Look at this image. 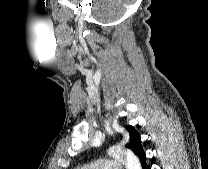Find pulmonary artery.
I'll use <instances>...</instances> for the list:
<instances>
[{
  "mask_svg": "<svg viewBox=\"0 0 208 169\" xmlns=\"http://www.w3.org/2000/svg\"><path fill=\"white\" fill-rule=\"evenodd\" d=\"M77 169H124L119 159L101 158L97 161L78 167Z\"/></svg>",
  "mask_w": 208,
  "mask_h": 169,
  "instance_id": "e3ab8cb5",
  "label": "pulmonary artery"
}]
</instances>
